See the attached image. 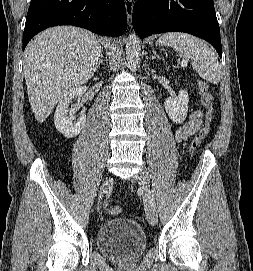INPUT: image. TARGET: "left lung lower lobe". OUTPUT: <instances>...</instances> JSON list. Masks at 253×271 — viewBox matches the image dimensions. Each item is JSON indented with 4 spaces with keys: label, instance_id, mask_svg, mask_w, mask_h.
I'll use <instances>...</instances> for the list:
<instances>
[{
    "label": "left lung lower lobe",
    "instance_id": "left-lung-lower-lobe-1",
    "mask_svg": "<svg viewBox=\"0 0 253 271\" xmlns=\"http://www.w3.org/2000/svg\"><path fill=\"white\" fill-rule=\"evenodd\" d=\"M132 24L143 39L164 32H186L208 41L222 55L213 0H144L134 5Z\"/></svg>",
    "mask_w": 253,
    "mask_h": 271
}]
</instances>
